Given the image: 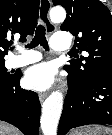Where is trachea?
<instances>
[{
  "label": "trachea",
  "instance_id": "1",
  "mask_svg": "<svg viewBox=\"0 0 112 135\" xmlns=\"http://www.w3.org/2000/svg\"><path fill=\"white\" fill-rule=\"evenodd\" d=\"M46 7V2H42V8ZM38 45L43 46V48L48 51L49 50V46H48V42L45 36V27L43 25H38V27L36 28L35 31V36L32 39L31 43L28 44L26 47L28 48H35Z\"/></svg>",
  "mask_w": 112,
  "mask_h": 135
}]
</instances>
